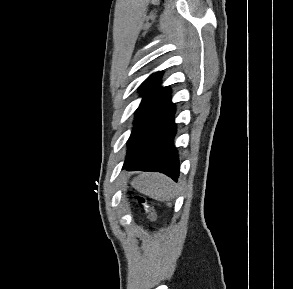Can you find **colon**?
I'll list each match as a JSON object with an SVG mask.
<instances>
[{
  "instance_id": "colon-1",
  "label": "colon",
  "mask_w": 293,
  "mask_h": 289,
  "mask_svg": "<svg viewBox=\"0 0 293 289\" xmlns=\"http://www.w3.org/2000/svg\"><path fill=\"white\" fill-rule=\"evenodd\" d=\"M138 202L144 208V211L146 213L148 220H150L151 222H155L156 221V212H155L154 207L147 201V199L145 197H142V196L138 197Z\"/></svg>"
}]
</instances>
